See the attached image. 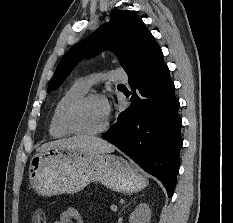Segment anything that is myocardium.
<instances>
[{"label": "myocardium", "instance_id": "myocardium-1", "mask_svg": "<svg viewBox=\"0 0 233 223\" xmlns=\"http://www.w3.org/2000/svg\"><path fill=\"white\" fill-rule=\"evenodd\" d=\"M93 99H102V96L96 93L85 94L84 96L74 100L64 113V125L72 133L82 137H95L103 134L110 126L109 120L97 131L86 132L81 130L76 123L78 111L89 101Z\"/></svg>", "mask_w": 233, "mask_h": 223}]
</instances>
